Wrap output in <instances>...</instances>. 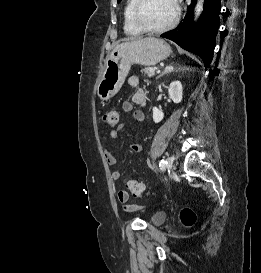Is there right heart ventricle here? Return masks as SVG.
Listing matches in <instances>:
<instances>
[{
  "mask_svg": "<svg viewBox=\"0 0 261 273\" xmlns=\"http://www.w3.org/2000/svg\"><path fill=\"white\" fill-rule=\"evenodd\" d=\"M134 4V0H127L124 10V31L128 35H139L141 31L135 27L131 19V10Z\"/></svg>",
  "mask_w": 261,
  "mask_h": 273,
  "instance_id": "1",
  "label": "right heart ventricle"
}]
</instances>
